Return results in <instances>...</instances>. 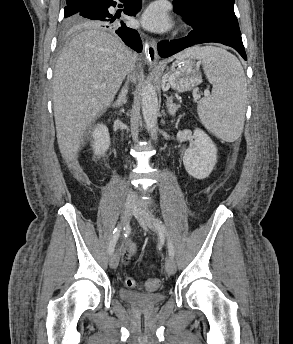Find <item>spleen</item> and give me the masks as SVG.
I'll list each match as a JSON object with an SVG mask.
<instances>
[{
    "label": "spleen",
    "instance_id": "1",
    "mask_svg": "<svg viewBox=\"0 0 293 344\" xmlns=\"http://www.w3.org/2000/svg\"><path fill=\"white\" fill-rule=\"evenodd\" d=\"M179 56L201 60L207 79L213 85L211 96L198 102L202 124L225 141L239 138L247 98L246 78L239 60L228 51L212 46L193 47Z\"/></svg>",
    "mask_w": 293,
    "mask_h": 344
}]
</instances>
